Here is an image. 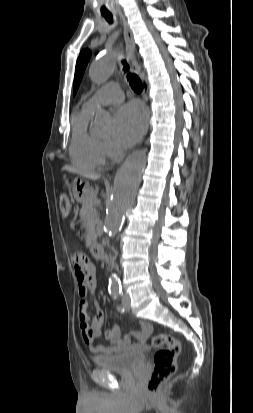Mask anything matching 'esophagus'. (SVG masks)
<instances>
[{"mask_svg": "<svg viewBox=\"0 0 253 413\" xmlns=\"http://www.w3.org/2000/svg\"><path fill=\"white\" fill-rule=\"evenodd\" d=\"M120 19L123 24V33H124V40H125V45H126L127 60L129 62L131 70L134 73L139 74L140 66L135 57V43H134L132 32L123 14H120Z\"/></svg>", "mask_w": 253, "mask_h": 413, "instance_id": "34e87169", "label": "esophagus"}]
</instances>
